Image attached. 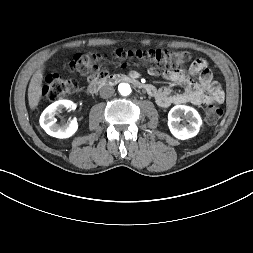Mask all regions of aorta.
Masks as SVG:
<instances>
[{
    "instance_id": "1",
    "label": "aorta",
    "mask_w": 253,
    "mask_h": 253,
    "mask_svg": "<svg viewBox=\"0 0 253 253\" xmlns=\"http://www.w3.org/2000/svg\"><path fill=\"white\" fill-rule=\"evenodd\" d=\"M118 91L121 95L127 96L131 93V86L128 83H121L118 86Z\"/></svg>"
}]
</instances>
